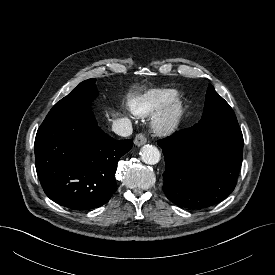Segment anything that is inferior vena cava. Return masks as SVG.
<instances>
[{"mask_svg":"<svg viewBox=\"0 0 275 275\" xmlns=\"http://www.w3.org/2000/svg\"><path fill=\"white\" fill-rule=\"evenodd\" d=\"M112 130L119 136L127 137L133 132L131 120L128 118H119L112 124Z\"/></svg>","mask_w":275,"mask_h":275,"instance_id":"inferior-vena-cava-1","label":"inferior vena cava"}]
</instances>
